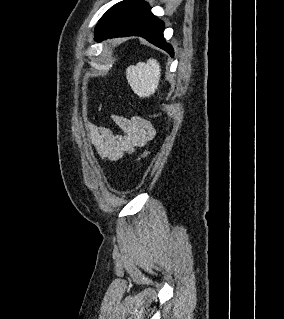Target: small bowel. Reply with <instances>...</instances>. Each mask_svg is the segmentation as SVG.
Returning a JSON list of instances; mask_svg holds the SVG:
<instances>
[{
    "mask_svg": "<svg viewBox=\"0 0 284 319\" xmlns=\"http://www.w3.org/2000/svg\"><path fill=\"white\" fill-rule=\"evenodd\" d=\"M111 118L121 133L107 127L87 124L91 141L102 160L116 161L124 155L132 154L156 135L152 123L145 118L118 115H112Z\"/></svg>",
    "mask_w": 284,
    "mask_h": 319,
    "instance_id": "small-bowel-1",
    "label": "small bowel"
}]
</instances>
